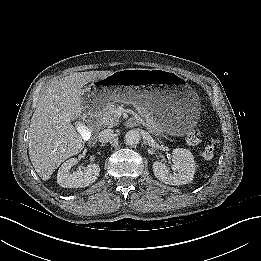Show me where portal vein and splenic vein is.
I'll use <instances>...</instances> for the list:
<instances>
[{
    "label": "portal vein and splenic vein",
    "mask_w": 261,
    "mask_h": 261,
    "mask_svg": "<svg viewBox=\"0 0 261 261\" xmlns=\"http://www.w3.org/2000/svg\"><path fill=\"white\" fill-rule=\"evenodd\" d=\"M122 111H123L122 108H118V109L116 110L117 115H120V114L122 113Z\"/></svg>",
    "instance_id": "18ae733b"
}]
</instances>
